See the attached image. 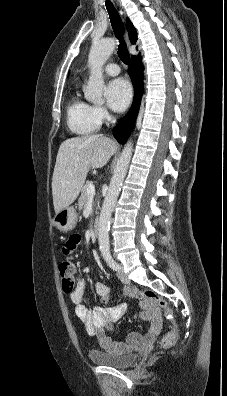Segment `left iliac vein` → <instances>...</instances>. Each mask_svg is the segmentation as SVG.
<instances>
[{
  "mask_svg": "<svg viewBox=\"0 0 227 396\" xmlns=\"http://www.w3.org/2000/svg\"><path fill=\"white\" fill-rule=\"evenodd\" d=\"M117 276L120 279L121 282L123 283H129V279L124 273L123 267L120 265L119 270H117Z\"/></svg>",
  "mask_w": 227,
  "mask_h": 396,
  "instance_id": "1",
  "label": "left iliac vein"
}]
</instances>
